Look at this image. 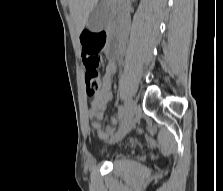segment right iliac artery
<instances>
[{
	"label": "right iliac artery",
	"instance_id": "82829eb1",
	"mask_svg": "<svg viewBox=\"0 0 223 191\" xmlns=\"http://www.w3.org/2000/svg\"><path fill=\"white\" fill-rule=\"evenodd\" d=\"M119 113L121 114V115H125V112H126V107H125V105H121V106H119Z\"/></svg>",
	"mask_w": 223,
	"mask_h": 191
}]
</instances>
